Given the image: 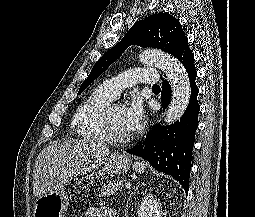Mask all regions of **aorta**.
I'll list each match as a JSON object with an SVG mask.
<instances>
[{
	"label": "aorta",
	"instance_id": "aorta-1",
	"mask_svg": "<svg viewBox=\"0 0 255 217\" xmlns=\"http://www.w3.org/2000/svg\"><path fill=\"white\" fill-rule=\"evenodd\" d=\"M139 58L144 64L164 71L171 83L173 95L164 118L165 124L170 125L181 118L189 104L191 88L188 74L177 59L158 50H145Z\"/></svg>",
	"mask_w": 255,
	"mask_h": 217
}]
</instances>
